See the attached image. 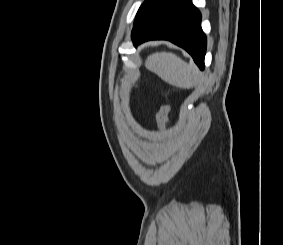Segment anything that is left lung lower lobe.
<instances>
[{"label": "left lung lower lobe", "mask_w": 283, "mask_h": 245, "mask_svg": "<svg viewBox=\"0 0 283 245\" xmlns=\"http://www.w3.org/2000/svg\"><path fill=\"white\" fill-rule=\"evenodd\" d=\"M160 39L184 48L198 67L204 69L206 37L201 29V14L191 0H175L155 24L136 37L133 43L137 47L144 41Z\"/></svg>", "instance_id": "obj_1"}]
</instances>
